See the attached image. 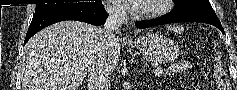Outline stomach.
Here are the masks:
<instances>
[{
  "label": "stomach",
  "instance_id": "stomach-1",
  "mask_svg": "<svg viewBox=\"0 0 237 90\" xmlns=\"http://www.w3.org/2000/svg\"><path fill=\"white\" fill-rule=\"evenodd\" d=\"M135 46L153 62L169 63L180 55V47L158 33H147L135 41Z\"/></svg>",
  "mask_w": 237,
  "mask_h": 90
}]
</instances>
